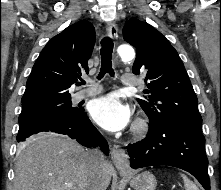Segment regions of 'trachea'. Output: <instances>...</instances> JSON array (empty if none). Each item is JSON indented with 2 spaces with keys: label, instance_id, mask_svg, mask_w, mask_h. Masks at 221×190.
Instances as JSON below:
<instances>
[{
  "label": "trachea",
  "instance_id": "3493384b",
  "mask_svg": "<svg viewBox=\"0 0 221 190\" xmlns=\"http://www.w3.org/2000/svg\"><path fill=\"white\" fill-rule=\"evenodd\" d=\"M101 68L98 75V79H101L106 73H109L112 77L114 76V70L112 68V52H113V41L110 37H104L101 41ZM85 84L84 81L78 83V85Z\"/></svg>",
  "mask_w": 221,
  "mask_h": 190
}]
</instances>
